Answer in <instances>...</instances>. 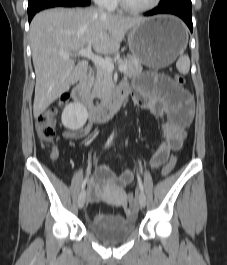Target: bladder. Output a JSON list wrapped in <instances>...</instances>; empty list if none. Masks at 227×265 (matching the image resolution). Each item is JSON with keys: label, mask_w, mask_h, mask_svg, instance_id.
<instances>
[{"label": "bladder", "mask_w": 227, "mask_h": 265, "mask_svg": "<svg viewBox=\"0 0 227 265\" xmlns=\"http://www.w3.org/2000/svg\"><path fill=\"white\" fill-rule=\"evenodd\" d=\"M135 228L134 218H124L119 223L111 225H102L95 222L88 223L90 232L106 243H118L128 239L135 232Z\"/></svg>", "instance_id": "31cf9c89"}]
</instances>
